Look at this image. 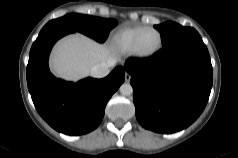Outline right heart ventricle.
I'll return each instance as SVG.
<instances>
[{
  "label": "right heart ventricle",
  "mask_w": 238,
  "mask_h": 158,
  "mask_svg": "<svg viewBox=\"0 0 238 158\" xmlns=\"http://www.w3.org/2000/svg\"><path fill=\"white\" fill-rule=\"evenodd\" d=\"M145 26H131L125 27L117 31L112 37L113 46L120 52L127 53L131 51V47L135 36L140 32Z\"/></svg>",
  "instance_id": "1"
}]
</instances>
